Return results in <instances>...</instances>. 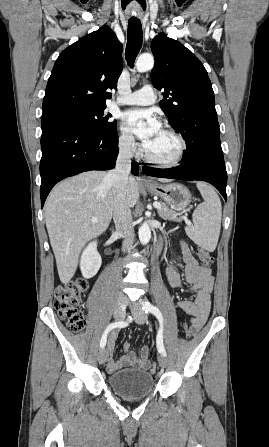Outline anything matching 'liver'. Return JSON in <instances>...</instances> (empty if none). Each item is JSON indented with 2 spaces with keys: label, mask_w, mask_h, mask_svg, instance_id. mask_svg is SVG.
Here are the masks:
<instances>
[{
  "label": "liver",
  "mask_w": 269,
  "mask_h": 447,
  "mask_svg": "<svg viewBox=\"0 0 269 447\" xmlns=\"http://www.w3.org/2000/svg\"><path fill=\"white\" fill-rule=\"evenodd\" d=\"M105 176L106 172H84L68 178L53 188L45 202L46 227L62 283H69L73 277L86 241L103 233L111 222L112 182ZM126 194L129 208H134L139 200V186L132 176L128 178ZM92 220H98L97 224Z\"/></svg>",
  "instance_id": "obj_1"
}]
</instances>
